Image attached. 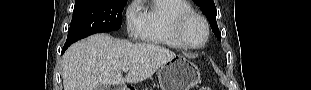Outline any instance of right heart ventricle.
<instances>
[{"mask_svg": "<svg viewBox=\"0 0 311 90\" xmlns=\"http://www.w3.org/2000/svg\"><path fill=\"white\" fill-rule=\"evenodd\" d=\"M192 11V5L186 0L152 1L143 11L142 40L174 49H184L175 36L174 25L179 15Z\"/></svg>", "mask_w": 311, "mask_h": 90, "instance_id": "obj_1", "label": "right heart ventricle"}]
</instances>
